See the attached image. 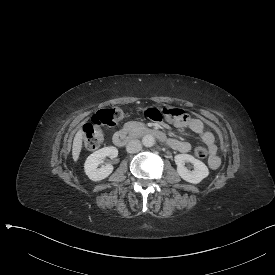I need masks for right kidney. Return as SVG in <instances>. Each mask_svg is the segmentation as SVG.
Returning <instances> with one entry per match:
<instances>
[{
  "label": "right kidney",
  "instance_id": "right-kidney-1",
  "mask_svg": "<svg viewBox=\"0 0 275 275\" xmlns=\"http://www.w3.org/2000/svg\"><path fill=\"white\" fill-rule=\"evenodd\" d=\"M109 156L110 158H116L118 156V150L116 147H104L92 153L85 161L84 170L86 175L92 181H100L108 177L112 171L113 166L111 164H107L98 168V165L102 163V160Z\"/></svg>",
  "mask_w": 275,
  "mask_h": 275
}]
</instances>
